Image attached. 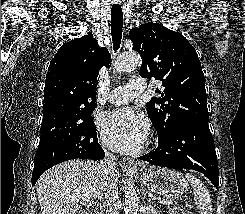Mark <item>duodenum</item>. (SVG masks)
I'll return each mask as SVG.
<instances>
[{"mask_svg":"<svg viewBox=\"0 0 245 214\" xmlns=\"http://www.w3.org/2000/svg\"><path fill=\"white\" fill-rule=\"evenodd\" d=\"M86 214H100V208H99V206L97 204L91 205L88 208Z\"/></svg>","mask_w":245,"mask_h":214,"instance_id":"1","label":"duodenum"}]
</instances>
